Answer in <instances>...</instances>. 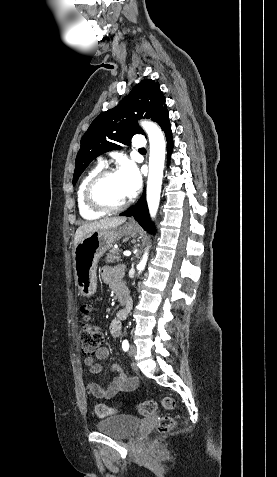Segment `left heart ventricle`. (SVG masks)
Wrapping results in <instances>:
<instances>
[{"mask_svg": "<svg viewBox=\"0 0 277 477\" xmlns=\"http://www.w3.org/2000/svg\"><path fill=\"white\" fill-rule=\"evenodd\" d=\"M97 196L109 205H118L127 199L118 173L107 177L98 186Z\"/></svg>", "mask_w": 277, "mask_h": 477, "instance_id": "obj_1", "label": "left heart ventricle"}]
</instances>
